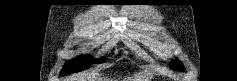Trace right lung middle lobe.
<instances>
[{"label":"right lung middle lobe","mask_w":237,"mask_h":81,"mask_svg":"<svg viewBox=\"0 0 237 81\" xmlns=\"http://www.w3.org/2000/svg\"><path fill=\"white\" fill-rule=\"evenodd\" d=\"M96 62V63H102L104 62V58L101 59H93L89 56H82L79 58H75L71 60L70 62L66 63L60 73V75L65 76L69 73H75L82 71L90 66V63Z\"/></svg>","instance_id":"dd1d6c3e"}]
</instances>
